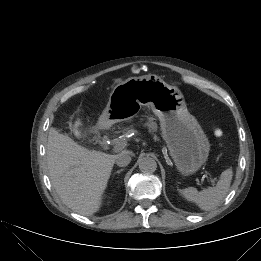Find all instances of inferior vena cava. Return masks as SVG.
<instances>
[{"instance_id":"602c4592","label":"inferior vena cava","mask_w":261,"mask_h":261,"mask_svg":"<svg viewBox=\"0 0 261 261\" xmlns=\"http://www.w3.org/2000/svg\"><path fill=\"white\" fill-rule=\"evenodd\" d=\"M115 162L120 167H125L131 162V156L128 151H122L115 157Z\"/></svg>"}]
</instances>
